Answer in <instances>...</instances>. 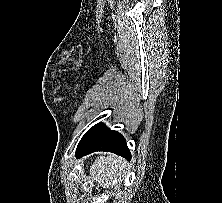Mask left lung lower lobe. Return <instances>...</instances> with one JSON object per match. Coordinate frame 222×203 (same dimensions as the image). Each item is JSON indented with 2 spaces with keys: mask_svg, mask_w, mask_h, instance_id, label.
I'll use <instances>...</instances> for the list:
<instances>
[{
  "mask_svg": "<svg viewBox=\"0 0 222 203\" xmlns=\"http://www.w3.org/2000/svg\"><path fill=\"white\" fill-rule=\"evenodd\" d=\"M95 151L112 152L128 160L131 159L124 137L102 123L94 125L84 134L78 144L76 155L81 157Z\"/></svg>",
  "mask_w": 222,
  "mask_h": 203,
  "instance_id": "left-lung-lower-lobe-1",
  "label": "left lung lower lobe"
}]
</instances>
